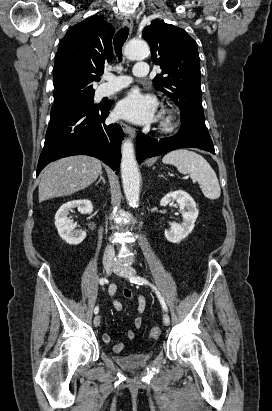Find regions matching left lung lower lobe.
<instances>
[{"label":"left lung lower lobe","mask_w":272,"mask_h":411,"mask_svg":"<svg viewBox=\"0 0 272 411\" xmlns=\"http://www.w3.org/2000/svg\"><path fill=\"white\" fill-rule=\"evenodd\" d=\"M199 148L215 154L205 122H182L180 130L172 137L155 139L141 132L137 136V160L158 156L179 148Z\"/></svg>","instance_id":"0a47b994"}]
</instances>
